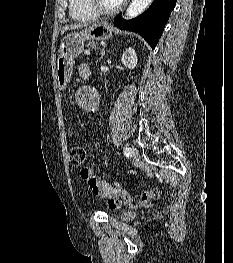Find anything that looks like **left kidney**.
I'll list each match as a JSON object with an SVG mask.
<instances>
[{
  "label": "left kidney",
  "instance_id": "obj_1",
  "mask_svg": "<svg viewBox=\"0 0 233 263\" xmlns=\"http://www.w3.org/2000/svg\"><path fill=\"white\" fill-rule=\"evenodd\" d=\"M121 61L125 67L134 69L138 62L135 50L131 47L126 49V51L122 55Z\"/></svg>",
  "mask_w": 233,
  "mask_h": 263
}]
</instances>
